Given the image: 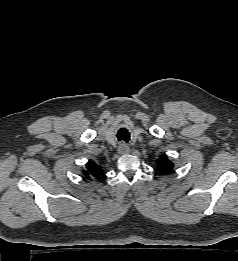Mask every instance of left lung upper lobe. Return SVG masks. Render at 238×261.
I'll use <instances>...</instances> for the list:
<instances>
[{
	"label": "left lung upper lobe",
	"mask_w": 238,
	"mask_h": 261,
	"mask_svg": "<svg viewBox=\"0 0 238 261\" xmlns=\"http://www.w3.org/2000/svg\"><path fill=\"white\" fill-rule=\"evenodd\" d=\"M172 169H173V163L168 160L167 155L164 154V155L160 156V158H159V160H158L157 170H158L161 174H167V173H169Z\"/></svg>",
	"instance_id": "5c2ea615"
}]
</instances>
